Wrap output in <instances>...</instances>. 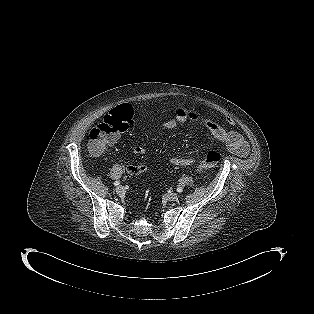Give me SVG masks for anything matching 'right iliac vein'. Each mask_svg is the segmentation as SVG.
<instances>
[{
  "label": "right iliac vein",
  "mask_w": 314,
  "mask_h": 314,
  "mask_svg": "<svg viewBox=\"0 0 314 314\" xmlns=\"http://www.w3.org/2000/svg\"><path fill=\"white\" fill-rule=\"evenodd\" d=\"M124 191H125V189H124L123 186H118V187L116 188V193H117V194H123Z\"/></svg>",
  "instance_id": "1"
}]
</instances>
